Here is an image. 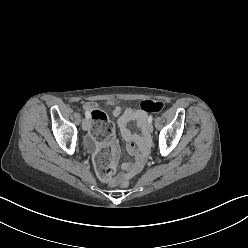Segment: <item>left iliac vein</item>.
Masks as SVG:
<instances>
[{"instance_id": "4c4485c4", "label": "left iliac vein", "mask_w": 248, "mask_h": 248, "mask_svg": "<svg viewBox=\"0 0 248 248\" xmlns=\"http://www.w3.org/2000/svg\"><path fill=\"white\" fill-rule=\"evenodd\" d=\"M147 131H148L149 133H152V132H153V125H152L151 123H149V124L147 125Z\"/></svg>"}]
</instances>
